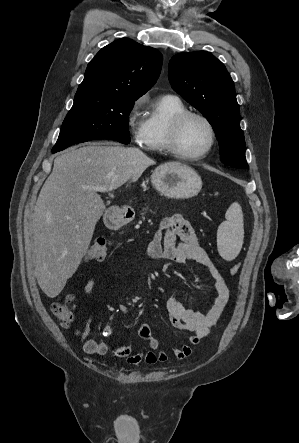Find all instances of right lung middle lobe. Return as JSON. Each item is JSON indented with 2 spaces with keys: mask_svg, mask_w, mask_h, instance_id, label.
<instances>
[{
  "mask_svg": "<svg viewBox=\"0 0 299 443\" xmlns=\"http://www.w3.org/2000/svg\"><path fill=\"white\" fill-rule=\"evenodd\" d=\"M135 101L100 92L76 93L53 150L96 139L130 143L129 114Z\"/></svg>",
  "mask_w": 299,
  "mask_h": 443,
  "instance_id": "obj_1",
  "label": "right lung middle lobe"
}]
</instances>
